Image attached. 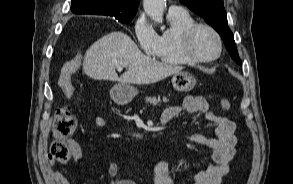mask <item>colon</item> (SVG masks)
<instances>
[{
  "mask_svg": "<svg viewBox=\"0 0 293 184\" xmlns=\"http://www.w3.org/2000/svg\"><path fill=\"white\" fill-rule=\"evenodd\" d=\"M81 62L82 55H79L65 63L62 68L59 83L67 98L73 95L71 76L80 68ZM220 105L225 111H230L232 108L231 102L227 98H222ZM76 126L77 121L71 106L67 103L59 105L55 111L52 125L54 141L49 151L51 162L66 163L71 158V143L68 138L74 133Z\"/></svg>",
  "mask_w": 293,
  "mask_h": 184,
  "instance_id": "1",
  "label": "colon"
}]
</instances>
